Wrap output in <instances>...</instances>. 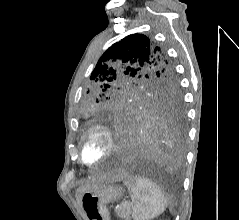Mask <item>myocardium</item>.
<instances>
[{
  "label": "myocardium",
  "instance_id": "myocardium-1",
  "mask_svg": "<svg viewBox=\"0 0 239 220\" xmlns=\"http://www.w3.org/2000/svg\"><path fill=\"white\" fill-rule=\"evenodd\" d=\"M94 135H99L103 138L105 147L103 154L95 161L88 162L83 157V150L86 142ZM116 147L115 137L112 130L101 123H96L91 125L85 133L81 137L80 142V152H79V160L82 164L86 166H94L109 158L114 152Z\"/></svg>",
  "mask_w": 239,
  "mask_h": 220
}]
</instances>
